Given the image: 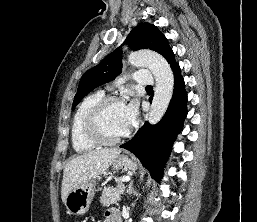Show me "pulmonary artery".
<instances>
[{
    "mask_svg": "<svg viewBox=\"0 0 257 222\" xmlns=\"http://www.w3.org/2000/svg\"><path fill=\"white\" fill-rule=\"evenodd\" d=\"M134 79L140 85H151L153 83V76L149 71L136 72Z\"/></svg>",
    "mask_w": 257,
    "mask_h": 222,
    "instance_id": "e3ab8cb5",
    "label": "pulmonary artery"
}]
</instances>
